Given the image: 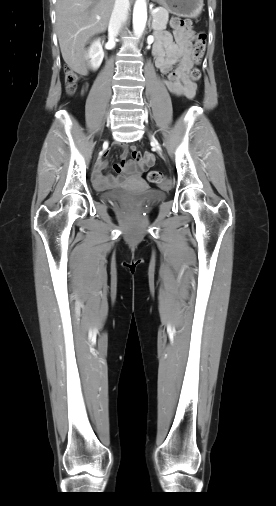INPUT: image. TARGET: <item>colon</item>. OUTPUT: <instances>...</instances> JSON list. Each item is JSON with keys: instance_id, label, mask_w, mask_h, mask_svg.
I'll return each mask as SVG.
<instances>
[{"instance_id": "5ec220e1", "label": "colon", "mask_w": 276, "mask_h": 506, "mask_svg": "<svg viewBox=\"0 0 276 506\" xmlns=\"http://www.w3.org/2000/svg\"><path fill=\"white\" fill-rule=\"evenodd\" d=\"M171 25L175 30L191 31L192 22L188 18L173 17L171 19ZM206 47V36L203 32H198L193 37V49L192 59L198 66L204 56ZM191 78L194 81H198L201 78V71L198 67L194 68L191 72ZM79 83V76L76 72L67 69L65 72V86L69 94L75 93ZM149 182L154 184H160L164 186L169 185V181L166 179L163 173L158 171H151L147 175Z\"/></svg>"}]
</instances>
